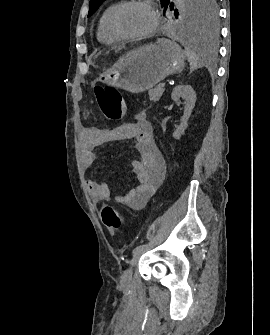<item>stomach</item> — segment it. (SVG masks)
Listing matches in <instances>:
<instances>
[{
	"instance_id": "1",
	"label": "stomach",
	"mask_w": 270,
	"mask_h": 335,
	"mask_svg": "<svg viewBox=\"0 0 270 335\" xmlns=\"http://www.w3.org/2000/svg\"><path fill=\"white\" fill-rule=\"evenodd\" d=\"M184 66L185 54L179 44L158 38L155 44L134 48L120 56L110 70L100 74L98 80L112 88L140 94L153 88L166 76L181 72Z\"/></svg>"
}]
</instances>
